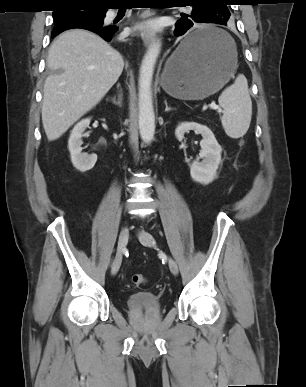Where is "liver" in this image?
I'll return each mask as SVG.
<instances>
[{
    "instance_id": "6515ba94",
    "label": "liver",
    "mask_w": 306,
    "mask_h": 387,
    "mask_svg": "<svg viewBox=\"0 0 306 387\" xmlns=\"http://www.w3.org/2000/svg\"><path fill=\"white\" fill-rule=\"evenodd\" d=\"M47 65L54 73L44 84L42 123L53 141L103 99L120 77L124 61L99 35L72 29L53 41Z\"/></svg>"
}]
</instances>
